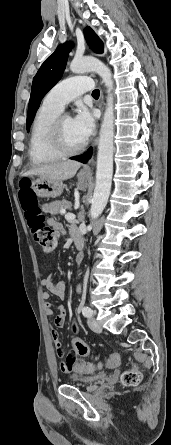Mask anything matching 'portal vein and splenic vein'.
Wrapping results in <instances>:
<instances>
[{
	"label": "portal vein and splenic vein",
	"mask_w": 171,
	"mask_h": 445,
	"mask_svg": "<svg viewBox=\"0 0 171 445\" xmlns=\"http://www.w3.org/2000/svg\"><path fill=\"white\" fill-rule=\"evenodd\" d=\"M62 213L65 214V219L68 221L74 220L75 219V215L72 213H66V211L64 209L61 210Z\"/></svg>",
	"instance_id": "portal-vein-and-splenic-vein-1"
}]
</instances>
